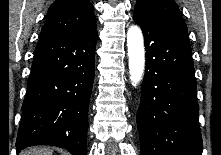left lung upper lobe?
<instances>
[{
  "label": "left lung upper lobe",
  "instance_id": "obj_1",
  "mask_svg": "<svg viewBox=\"0 0 221 155\" xmlns=\"http://www.w3.org/2000/svg\"><path fill=\"white\" fill-rule=\"evenodd\" d=\"M135 9L143 10L163 24L187 32L186 24L174 0H137Z\"/></svg>",
  "mask_w": 221,
  "mask_h": 155
}]
</instances>
